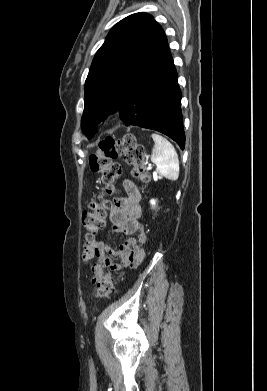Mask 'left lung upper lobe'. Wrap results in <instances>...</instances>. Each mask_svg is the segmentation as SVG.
Masks as SVG:
<instances>
[{
	"instance_id": "left-lung-upper-lobe-1",
	"label": "left lung upper lobe",
	"mask_w": 267,
	"mask_h": 391,
	"mask_svg": "<svg viewBox=\"0 0 267 391\" xmlns=\"http://www.w3.org/2000/svg\"><path fill=\"white\" fill-rule=\"evenodd\" d=\"M168 49L161 26L147 13L118 22L97 51L85 83L83 132L118 111L146 71Z\"/></svg>"
}]
</instances>
